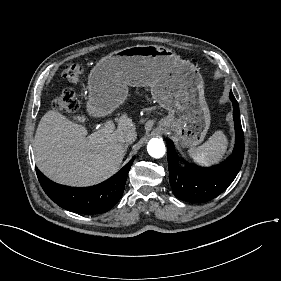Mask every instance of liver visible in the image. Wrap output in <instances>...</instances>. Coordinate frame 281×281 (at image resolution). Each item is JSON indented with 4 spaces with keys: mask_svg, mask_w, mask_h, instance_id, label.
Instances as JSON below:
<instances>
[{
    "mask_svg": "<svg viewBox=\"0 0 281 281\" xmlns=\"http://www.w3.org/2000/svg\"><path fill=\"white\" fill-rule=\"evenodd\" d=\"M106 114L100 111L96 117ZM135 129L132 119L122 114L113 133L99 130L87 136L86 127L59 112L48 111L41 118L34 138L36 165L59 184L72 187L99 184L117 172L125 156L126 148L118 136Z\"/></svg>",
    "mask_w": 281,
    "mask_h": 281,
    "instance_id": "obj_1",
    "label": "liver"
}]
</instances>
